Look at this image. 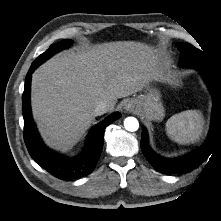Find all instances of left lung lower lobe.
I'll list each match as a JSON object with an SVG mask.
<instances>
[{
    "label": "left lung lower lobe",
    "mask_w": 221,
    "mask_h": 221,
    "mask_svg": "<svg viewBox=\"0 0 221 221\" xmlns=\"http://www.w3.org/2000/svg\"><path fill=\"white\" fill-rule=\"evenodd\" d=\"M212 71V69H210ZM210 70H199L213 95L211 128L205 144L194 153L177 159H166L155 154L148 146L147 131L142 129L141 149L150 164L159 172L166 174L188 173L201 165L211 154L214 146L221 140V83Z\"/></svg>",
    "instance_id": "0a47b994"
}]
</instances>
